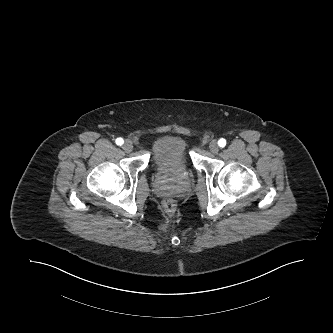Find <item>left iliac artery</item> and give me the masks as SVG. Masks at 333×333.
Here are the masks:
<instances>
[{"mask_svg":"<svg viewBox=\"0 0 333 333\" xmlns=\"http://www.w3.org/2000/svg\"><path fill=\"white\" fill-rule=\"evenodd\" d=\"M218 145L223 148L226 145V140L224 138L219 139Z\"/></svg>","mask_w":333,"mask_h":333,"instance_id":"obj_1","label":"left iliac artery"}]
</instances>
